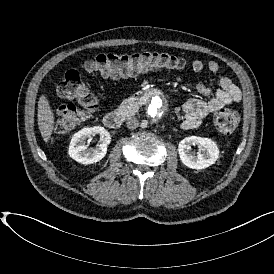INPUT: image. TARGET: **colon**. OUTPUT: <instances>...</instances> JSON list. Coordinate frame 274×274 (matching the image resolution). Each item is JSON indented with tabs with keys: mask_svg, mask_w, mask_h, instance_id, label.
<instances>
[{
	"mask_svg": "<svg viewBox=\"0 0 274 274\" xmlns=\"http://www.w3.org/2000/svg\"><path fill=\"white\" fill-rule=\"evenodd\" d=\"M187 65L183 57L161 52L101 53L85 61L82 70L69 68L57 84L59 99L55 103L58 119L55 129L64 133L79 124L88 111H95L97 102L83 80L82 72L119 78L154 69H180ZM236 111L223 109L216 113L215 125L222 134H231L239 126Z\"/></svg>",
	"mask_w": 274,
	"mask_h": 274,
	"instance_id": "obj_1",
	"label": "colon"
}]
</instances>
